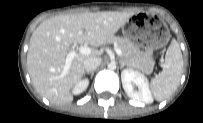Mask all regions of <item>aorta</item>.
<instances>
[{
	"instance_id": "obj_1",
	"label": "aorta",
	"mask_w": 203,
	"mask_h": 123,
	"mask_svg": "<svg viewBox=\"0 0 203 123\" xmlns=\"http://www.w3.org/2000/svg\"><path fill=\"white\" fill-rule=\"evenodd\" d=\"M115 67H116V66H115L114 63H111V64L108 65V68H109V69H114Z\"/></svg>"
}]
</instances>
